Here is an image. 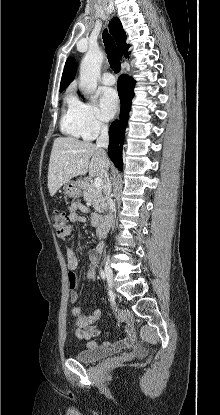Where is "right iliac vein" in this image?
<instances>
[{"label":"right iliac vein","mask_w":220,"mask_h":415,"mask_svg":"<svg viewBox=\"0 0 220 415\" xmlns=\"http://www.w3.org/2000/svg\"><path fill=\"white\" fill-rule=\"evenodd\" d=\"M104 273H105V276L107 278V281H108L110 287L112 288L113 283H114V276H113V271H112V269L109 265L108 260L104 261Z\"/></svg>","instance_id":"obj_1"}]
</instances>
